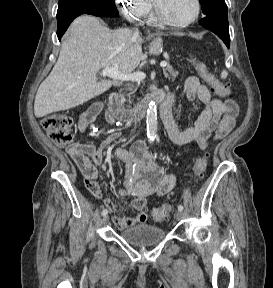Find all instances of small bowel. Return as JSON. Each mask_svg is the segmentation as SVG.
<instances>
[{"label": "small bowel", "instance_id": "small-bowel-1", "mask_svg": "<svg viewBox=\"0 0 273 288\" xmlns=\"http://www.w3.org/2000/svg\"><path fill=\"white\" fill-rule=\"evenodd\" d=\"M184 88L187 98L189 100L198 98L204 104V109L191 127L180 130L172 116L164 123L165 127L171 141L175 144L185 145L196 142L201 149H206L211 141L222 139L232 131L239 113L238 105L231 99L213 98L209 89L196 77L187 78ZM168 95L174 101L175 94ZM100 108V104H94L80 115L78 119L80 132H86L90 128ZM118 137L119 132H115L111 138ZM107 146L108 143L100 147L94 144L75 143L67 150L83 174L87 189L97 198L101 197V190L97 181L96 166L106 155ZM115 155L125 164L123 188L119 189L118 193L132 197L131 206L137 214L133 217L114 216L113 223L119 229L144 224L147 221L146 198L154 194L158 196L168 194L175 186L176 176L165 173L154 162L143 142L133 144L128 150L117 148ZM104 203L111 212L115 211L116 205L113 201L105 199Z\"/></svg>", "mask_w": 273, "mask_h": 288}]
</instances>
